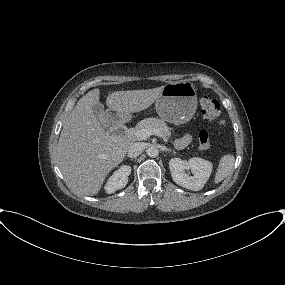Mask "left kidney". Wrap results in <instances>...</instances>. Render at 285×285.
<instances>
[{
	"label": "left kidney",
	"mask_w": 285,
	"mask_h": 285,
	"mask_svg": "<svg viewBox=\"0 0 285 285\" xmlns=\"http://www.w3.org/2000/svg\"><path fill=\"white\" fill-rule=\"evenodd\" d=\"M169 167L173 181L193 191H199L203 188L213 169L211 162L199 157H193L188 161L172 158L169 161ZM189 169L192 171L193 176H189L185 172Z\"/></svg>",
	"instance_id": "obj_1"
}]
</instances>
